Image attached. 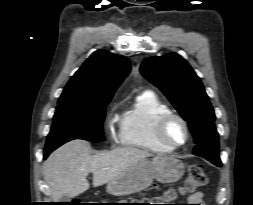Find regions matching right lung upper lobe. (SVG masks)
<instances>
[{
    "instance_id": "right-lung-upper-lobe-1",
    "label": "right lung upper lobe",
    "mask_w": 253,
    "mask_h": 205,
    "mask_svg": "<svg viewBox=\"0 0 253 205\" xmlns=\"http://www.w3.org/2000/svg\"><path fill=\"white\" fill-rule=\"evenodd\" d=\"M130 72V61L106 50H97L73 75L58 103H97L111 99Z\"/></svg>"
}]
</instances>
